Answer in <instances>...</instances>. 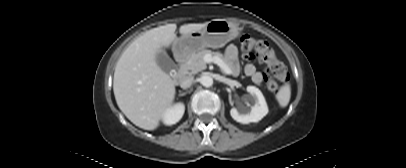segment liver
<instances>
[{
	"label": "liver",
	"mask_w": 406,
	"mask_h": 168,
	"mask_svg": "<svg viewBox=\"0 0 406 168\" xmlns=\"http://www.w3.org/2000/svg\"><path fill=\"white\" fill-rule=\"evenodd\" d=\"M182 25V36L201 31L207 24ZM177 25L153 28L134 40L119 58L114 72L113 91L118 107L136 126L154 130L175 98V84L157 64L162 49L177 40Z\"/></svg>",
	"instance_id": "6515ba94"
}]
</instances>
